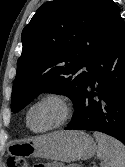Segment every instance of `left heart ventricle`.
<instances>
[{
    "mask_svg": "<svg viewBox=\"0 0 125 167\" xmlns=\"http://www.w3.org/2000/svg\"><path fill=\"white\" fill-rule=\"evenodd\" d=\"M59 113V107L55 103H43L32 111L30 124L34 129L45 128L57 120Z\"/></svg>",
    "mask_w": 125,
    "mask_h": 167,
    "instance_id": "b2bd125f",
    "label": "left heart ventricle"
}]
</instances>
